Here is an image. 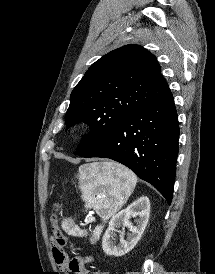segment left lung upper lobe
Here are the masks:
<instances>
[{
  "label": "left lung upper lobe",
  "instance_id": "obj_1",
  "mask_svg": "<svg viewBox=\"0 0 215 274\" xmlns=\"http://www.w3.org/2000/svg\"><path fill=\"white\" fill-rule=\"evenodd\" d=\"M167 88L155 56L139 45H126L101 57L70 96L67 128L80 121L91 128L75 153L88 152L125 117Z\"/></svg>",
  "mask_w": 215,
  "mask_h": 274
}]
</instances>
